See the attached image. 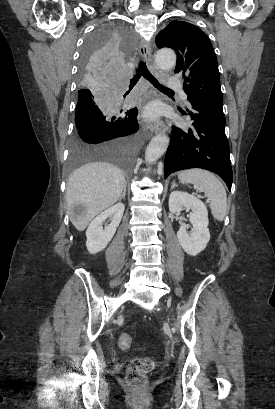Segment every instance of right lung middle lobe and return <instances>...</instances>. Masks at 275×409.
I'll return each mask as SVG.
<instances>
[{"label":"right lung middle lobe","mask_w":275,"mask_h":409,"mask_svg":"<svg viewBox=\"0 0 275 409\" xmlns=\"http://www.w3.org/2000/svg\"><path fill=\"white\" fill-rule=\"evenodd\" d=\"M129 30L122 24H98L86 41L84 57L76 71L79 91L75 126L70 142L65 176L73 178L77 167L102 162L121 167L124 175L136 165L142 137L138 132L137 110L131 109L125 91L128 51H135Z\"/></svg>","instance_id":"obj_1"}]
</instances>
